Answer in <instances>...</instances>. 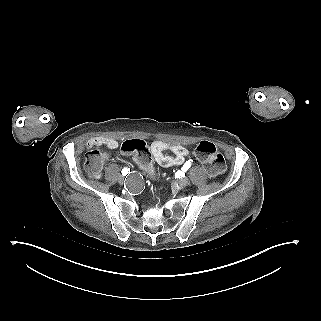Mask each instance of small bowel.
Returning a JSON list of instances; mask_svg holds the SVG:
<instances>
[{"label": "small bowel", "instance_id": "1", "mask_svg": "<svg viewBox=\"0 0 321 321\" xmlns=\"http://www.w3.org/2000/svg\"><path fill=\"white\" fill-rule=\"evenodd\" d=\"M102 145L106 146L110 150H114L118 147L119 143L116 139L110 137H94L87 143L88 147ZM165 151L172 152L174 156L166 155ZM151 153L158 164L163 167H169L172 165H182L190 154V151L181 145L156 141L151 145Z\"/></svg>", "mask_w": 321, "mask_h": 321}]
</instances>
